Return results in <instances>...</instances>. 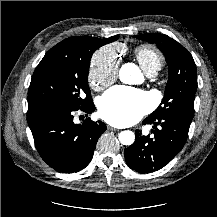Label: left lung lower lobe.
Instances as JSON below:
<instances>
[{"mask_svg":"<svg viewBox=\"0 0 217 217\" xmlns=\"http://www.w3.org/2000/svg\"><path fill=\"white\" fill-rule=\"evenodd\" d=\"M192 120L178 115L158 119L146 118L142 123L153 124L154 137L136 131L135 142L125 149V159L132 170L149 173L161 169L183 148ZM160 127L157 128L156 126Z\"/></svg>","mask_w":217,"mask_h":217,"instance_id":"left-lung-lower-lobe-1","label":"left lung lower lobe"}]
</instances>
